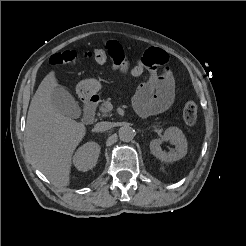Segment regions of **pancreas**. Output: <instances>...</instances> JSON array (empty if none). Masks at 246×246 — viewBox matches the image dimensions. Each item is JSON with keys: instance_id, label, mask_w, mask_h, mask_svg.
Returning a JSON list of instances; mask_svg holds the SVG:
<instances>
[{"instance_id": "cf45deb5", "label": "pancreas", "mask_w": 246, "mask_h": 246, "mask_svg": "<svg viewBox=\"0 0 246 246\" xmlns=\"http://www.w3.org/2000/svg\"><path fill=\"white\" fill-rule=\"evenodd\" d=\"M101 105L99 107L100 113H98V116L102 117H108L110 116V110L108 109V106L111 104L110 99L102 100Z\"/></svg>"}]
</instances>
